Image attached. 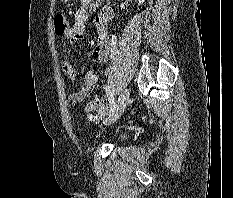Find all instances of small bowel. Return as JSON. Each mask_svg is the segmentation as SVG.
<instances>
[{"mask_svg":"<svg viewBox=\"0 0 233 198\" xmlns=\"http://www.w3.org/2000/svg\"><path fill=\"white\" fill-rule=\"evenodd\" d=\"M92 0H81V6L74 14V23L68 27L63 34L64 38L74 44L81 41L85 37V27L89 19L87 6ZM113 18V11L109 6H104L95 17V25L98 33L97 44L93 51V56L100 62H106L112 50V42L108 33V25ZM63 73L70 79L77 76V70L68 60L62 62ZM99 81V75L94 70L86 72L83 85L79 91L70 94V101L74 104L81 103L92 86Z\"/></svg>","mask_w":233,"mask_h":198,"instance_id":"c3829d8e","label":"small bowel"}]
</instances>
